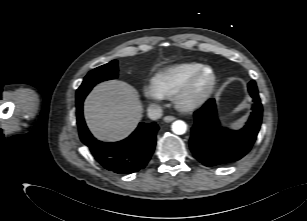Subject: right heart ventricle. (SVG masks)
<instances>
[{"instance_id":"1","label":"right heart ventricle","mask_w":307,"mask_h":221,"mask_svg":"<svg viewBox=\"0 0 307 221\" xmlns=\"http://www.w3.org/2000/svg\"><path fill=\"white\" fill-rule=\"evenodd\" d=\"M204 66L198 62H184L166 67L151 77L148 91L158 98L171 97Z\"/></svg>"}]
</instances>
